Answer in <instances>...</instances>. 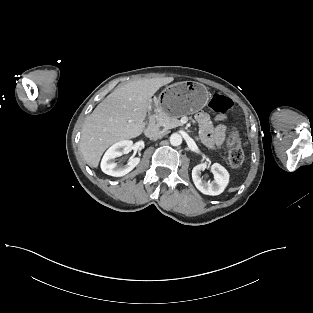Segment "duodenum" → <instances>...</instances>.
Here are the masks:
<instances>
[{
  "label": "duodenum",
  "instance_id": "duodenum-1",
  "mask_svg": "<svg viewBox=\"0 0 313 313\" xmlns=\"http://www.w3.org/2000/svg\"><path fill=\"white\" fill-rule=\"evenodd\" d=\"M158 133V120L157 116L154 115L150 118L149 124L145 130V134L149 138H153L157 135Z\"/></svg>",
  "mask_w": 313,
  "mask_h": 313
}]
</instances>
